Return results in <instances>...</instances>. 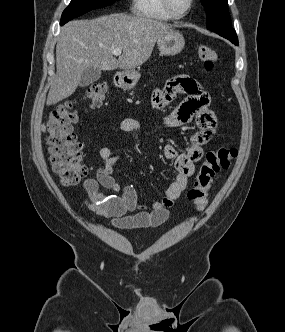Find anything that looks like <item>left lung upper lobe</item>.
I'll return each instance as SVG.
<instances>
[{
  "mask_svg": "<svg viewBox=\"0 0 285 332\" xmlns=\"http://www.w3.org/2000/svg\"><path fill=\"white\" fill-rule=\"evenodd\" d=\"M207 15L206 26L221 36L237 37L231 26L227 0H201Z\"/></svg>",
  "mask_w": 285,
  "mask_h": 332,
  "instance_id": "5c2ea615",
  "label": "left lung upper lobe"
}]
</instances>
